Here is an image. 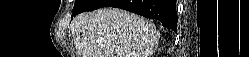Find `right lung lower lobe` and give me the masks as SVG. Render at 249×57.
I'll return each mask as SVG.
<instances>
[{
	"label": "right lung lower lobe",
	"instance_id": "98d812e1",
	"mask_svg": "<svg viewBox=\"0 0 249 57\" xmlns=\"http://www.w3.org/2000/svg\"><path fill=\"white\" fill-rule=\"evenodd\" d=\"M117 7L150 19L161 21L164 27L176 31L177 12L175 0H91L88 7L73 12L72 17L84 11L101 7Z\"/></svg>",
	"mask_w": 249,
	"mask_h": 57
}]
</instances>
